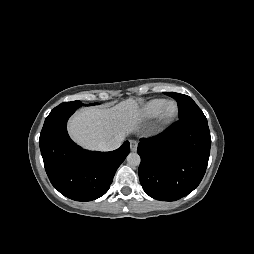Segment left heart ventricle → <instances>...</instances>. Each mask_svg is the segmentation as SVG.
I'll return each mask as SVG.
<instances>
[{"instance_id": "b2bd125f", "label": "left heart ventricle", "mask_w": 254, "mask_h": 254, "mask_svg": "<svg viewBox=\"0 0 254 254\" xmlns=\"http://www.w3.org/2000/svg\"><path fill=\"white\" fill-rule=\"evenodd\" d=\"M172 110H173V107L170 108V111H172Z\"/></svg>"}]
</instances>
